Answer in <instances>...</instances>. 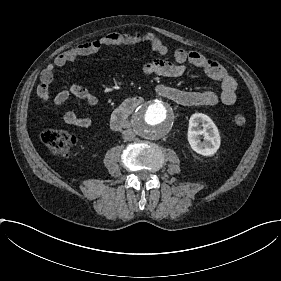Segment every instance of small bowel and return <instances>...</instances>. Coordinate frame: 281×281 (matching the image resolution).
Instances as JSON below:
<instances>
[{
    "mask_svg": "<svg viewBox=\"0 0 281 281\" xmlns=\"http://www.w3.org/2000/svg\"><path fill=\"white\" fill-rule=\"evenodd\" d=\"M145 46L158 54H166L168 47L162 39L154 33L149 32H112L101 36L99 39L77 44L66 52L60 54L52 64L47 66L41 73L40 85L37 90L38 97L43 101H48L51 97L50 84L55 71L63 67L67 62L74 61L80 56L95 53L104 47H136ZM172 57L175 62L153 60L143 67L145 75H157L168 78L182 77L188 70V66H193L203 70L206 75L219 82L221 90L219 96L206 89H182L166 84H158L155 92L160 97L168 99L175 104L182 106H214L218 102L229 106L236 101L237 84L234 77L224 69L217 61L196 51H186L176 49ZM85 99L89 104L97 103V97L84 87H72L60 90L49 104V109H55L64 103L69 96ZM62 121L69 126L88 128L92 125V120L87 117H78L73 113H67L62 117Z\"/></svg>",
    "mask_w": 281,
    "mask_h": 281,
    "instance_id": "small-bowel-1",
    "label": "small bowel"
}]
</instances>
